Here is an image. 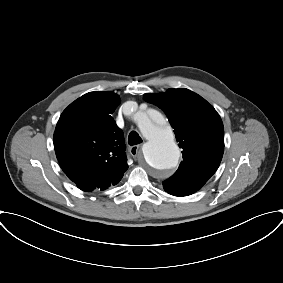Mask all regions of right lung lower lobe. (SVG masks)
I'll return each mask as SVG.
<instances>
[{
	"mask_svg": "<svg viewBox=\"0 0 283 283\" xmlns=\"http://www.w3.org/2000/svg\"><path fill=\"white\" fill-rule=\"evenodd\" d=\"M61 168H62L63 170H65V169L68 168V165H66V164H61Z\"/></svg>",
	"mask_w": 283,
	"mask_h": 283,
	"instance_id": "98d812e1",
	"label": "right lung lower lobe"
}]
</instances>
